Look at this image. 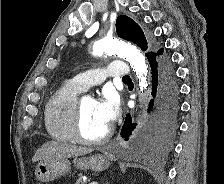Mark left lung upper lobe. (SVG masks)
<instances>
[{
    "label": "left lung upper lobe",
    "mask_w": 224,
    "mask_h": 184,
    "mask_svg": "<svg viewBox=\"0 0 224 184\" xmlns=\"http://www.w3.org/2000/svg\"><path fill=\"white\" fill-rule=\"evenodd\" d=\"M116 32L119 37L135 43L143 51L147 50L146 38L141 28L131 18L124 15L119 16L116 20ZM151 53L154 52L148 51L146 56Z\"/></svg>",
    "instance_id": "1"
}]
</instances>
